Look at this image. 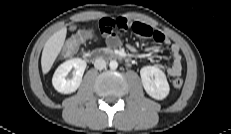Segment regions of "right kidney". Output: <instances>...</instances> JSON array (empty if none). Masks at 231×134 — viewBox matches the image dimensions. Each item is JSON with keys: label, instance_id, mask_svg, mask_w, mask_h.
<instances>
[{"label": "right kidney", "instance_id": "ca27d5eb", "mask_svg": "<svg viewBox=\"0 0 231 134\" xmlns=\"http://www.w3.org/2000/svg\"><path fill=\"white\" fill-rule=\"evenodd\" d=\"M86 65V61L80 58H73L62 63L56 69L52 78L54 88L63 94L75 92L81 84ZM72 69H74L73 77L67 79L66 77Z\"/></svg>", "mask_w": 231, "mask_h": 134}]
</instances>
